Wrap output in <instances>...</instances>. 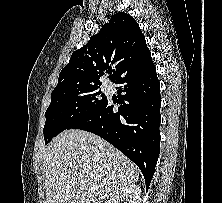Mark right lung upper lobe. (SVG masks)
Listing matches in <instances>:
<instances>
[{"mask_svg":"<svg viewBox=\"0 0 222 203\" xmlns=\"http://www.w3.org/2000/svg\"><path fill=\"white\" fill-rule=\"evenodd\" d=\"M150 60L151 53L139 25L129 14L119 12L86 45L71 55L69 63L59 74L53 92L100 85V77L112 66L113 74L109 78L114 82Z\"/></svg>","mask_w":222,"mask_h":203,"instance_id":"cb5924a9","label":"right lung upper lobe"}]
</instances>
